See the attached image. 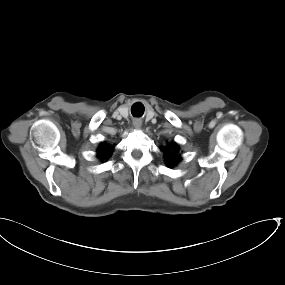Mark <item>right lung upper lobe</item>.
<instances>
[{
	"label": "right lung upper lobe",
	"instance_id": "obj_1",
	"mask_svg": "<svg viewBox=\"0 0 285 285\" xmlns=\"http://www.w3.org/2000/svg\"><path fill=\"white\" fill-rule=\"evenodd\" d=\"M112 151H113L112 146H108L106 143H102L98 148V151H97L98 155L97 156L101 160H106L107 158H109Z\"/></svg>",
	"mask_w": 285,
	"mask_h": 285
}]
</instances>
